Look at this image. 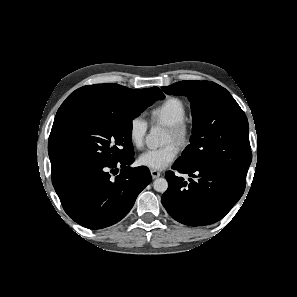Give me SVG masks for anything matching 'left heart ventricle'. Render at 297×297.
I'll return each mask as SVG.
<instances>
[{"label": "left heart ventricle", "instance_id": "b2bd125f", "mask_svg": "<svg viewBox=\"0 0 297 297\" xmlns=\"http://www.w3.org/2000/svg\"><path fill=\"white\" fill-rule=\"evenodd\" d=\"M173 141V138H172V135L169 131H167V134H166V137H165V140H164V143H170Z\"/></svg>", "mask_w": 297, "mask_h": 297}]
</instances>
